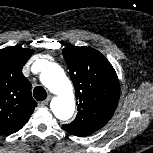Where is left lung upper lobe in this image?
Here are the masks:
<instances>
[{"mask_svg":"<svg viewBox=\"0 0 153 153\" xmlns=\"http://www.w3.org/2000/svg\"><path fill=\"white\" fill-rule=\"evenodd\" d=\"M78 100L75 120L63 129L71 135L87 136L101 129L112 117L120 96V85L110 62L90 47L62 50Z\"/></svg>","mask_w":153,"mask_h":153,"instance_id":"1","label":"left lung upper lobe"}]
</instances>
